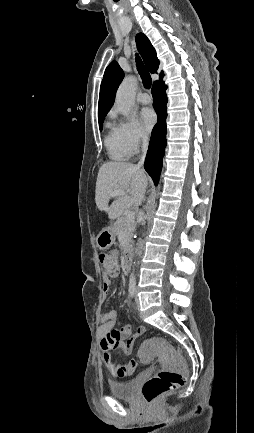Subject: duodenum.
<instances>
[{"label": "duodenum", "mask_w": 254, "mask_h": 433, "mask_svg": "<svg viewBox=\"0 0 254 433\" xmlns=\"http://www.w3.org/2000/svg\"><path fill=\"white\" fill-rule=\"evenodd\" d=\"M123 268L126 271H129L131 269V249L129 247L125 248Z\"/></svg>", "instance_id": "duodenum-1"}]
</instances>
